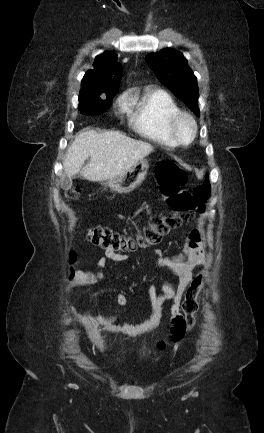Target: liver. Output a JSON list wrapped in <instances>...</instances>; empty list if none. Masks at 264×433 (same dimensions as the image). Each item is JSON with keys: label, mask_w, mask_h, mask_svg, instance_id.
<instances>
[{"label": "liver", "mask_w": 264, "mask_h": 433, "mask_svg": "<svg viewBox=\"0 0 264 433\" xmlns=\"http://www.w3.org/2000/svg\"><path fill=\"white\" fill-rule=\"evenodd\" d=\"M153 151L151 144L119 131L84 130L69 145L63 168L69 178L80 173L89 181H106L123 175ZM89 157V164L83 167Z\"/></svg>", "instance_id": "1"}]
</instances>
